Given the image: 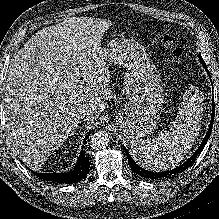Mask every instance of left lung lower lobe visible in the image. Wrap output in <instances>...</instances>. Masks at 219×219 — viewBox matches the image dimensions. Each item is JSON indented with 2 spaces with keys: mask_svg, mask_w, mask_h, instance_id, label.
Here are the masks:
<instances>
[{
  "mask_svg": "<svg viewBox=\"0 0 219 219\" xmlns=\"http://www.w3.org/2000/svg\"><path fill=\"white\" fill-rule=\"evenodd\" d=\"M201 63L203 64V66L205 68H207L204 60L202 59L201 56H199ZM208 75L210 76L209 71L207 70ZM214 103V102H213ZM214 112H215V108L213 105V111H212V116H211V122H210V126H209V130L206 134V136L204 137L201 145L199 146V148L195 151V153L186 161L184 162L182 165H180L177 168H174L170 171H166V172H160V173H155V172H151V171H147L143 168H141L140 166H138L135 161L131 158V156L129 155V153L127 152V149L123 146V149L128 157V161H129V165L132 168V170L140 175L143 178H147V179H162V178H169L173 175H176L178 173H182L184 170H186L188 167H190L192 165V163L195 161L196 157L200 154V152L203 150L204 146L206 145L210 135H211V131H212V127H213V122H214Z\"/></svg>",
  "mask_w": 219,
  "mask_h": 219,
  "instance_id": "obj_1",
  "label": "left lung lower lobe"
}]
</instances>
